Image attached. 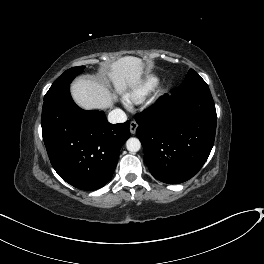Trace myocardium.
Returning a JSON list of instances; mask_svg holds the SVG:
<instances>
[{"instance_id": "myocardium-1", "label": "myocardium", "mask_w": 264, "mask_h": 264, "mask_svg": "<svg viewBox=\"0 0 264 264\" xmlns=\"http://www.w3.org/2000/svg\"><path fill=\"white\" fill-rule=\"evenodd\" d=\"M157 97H158V96L154 97V98H153V101H156Z\"/></svg>"}]
</instances>
